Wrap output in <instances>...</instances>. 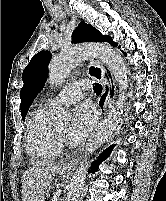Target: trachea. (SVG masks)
<instances>
[{
  "mask_svg": "<svg viewBox=\"0 0 166 201\" xmlns=\"http://www.w3.org/2000/svg\"><path fill=\"white\" fill-rule=\"evenodd\" d=\"M94 92L96 94H101V92H102V86L99 83H95V85H94Z\"/></svg>",
  "mask_w": 166,
  "mask_h": 201,
  "instance_id": "3493384b",
  "label": "trachea"
}]
</instances>
